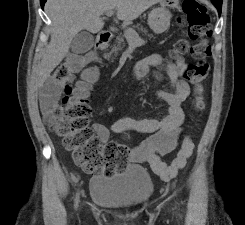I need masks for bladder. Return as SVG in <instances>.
Segmentation results:
<instances>
[{
    "label": "bladder",
    "instance_id": "31cf9c89",
    "mask_svg": "<svg viewBox=\"0 0 245 225\" xmlns=\"http://www.w3.org/2000/svg\"><path fill=\"white\" fill-rule=\"evenodd\" d=\"M153 189L149 173L136 164L115 174H99L90 179L92 203L100 208L135 210L148 202Z\"/></svg>",
    "mask_w": 245,
    "mask_h": 225
}]
</instances>
